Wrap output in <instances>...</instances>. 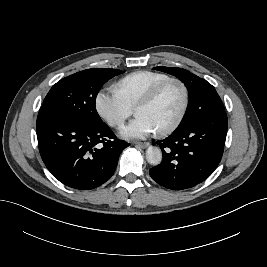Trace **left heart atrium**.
<instances>
[{
  "label": "left heart atrium",
  "instance_id": "left-heart-atrium-1",
  "mask_svg": "<svg viewBox=\"0 0 267 267\" xmlns=\"http://www.w3.org/2000/svg\"><path fill=\"white\" fill-rule=\"evenodd\" d=\"M156 132L154 124L144 115H137L127 126L121 130L125 138L143 139Z\"/></svg>",
  "mask_w": 267,
  "mask_h": 267
}]
</instances>
